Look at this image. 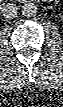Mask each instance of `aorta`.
<instances>
[{
  "instance_id": "762f6f07",
  "label": "aorta",
  "mask_w": 63,
  "mask_h": 107,
  "mask_svg": "<svg viewBox=\"0 0 63 107\" xmlns=\"http://www.w3.org/2000/svg\"><path fill=\"white\" fill-rule=\"evenodd\" d=\"M22 14H23V16H25L27 18L36 16V14H37V7H36V5L33 4V3H30V2L25 3L22 6Z\"/></svg>"
}]
</instances>
